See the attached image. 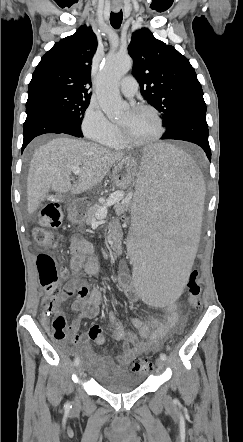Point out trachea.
Instances as JSON below:
<instances>
[{"instance_id":"obj_1","label":"trachea","mask_w":243,"mask_h":442,"mask_svg":"<svg viewBox=\"0 0 243 442\" xmlns=\"http://www.w3.org/2000/svg\"><path fill=\"white\" fill-rule=\"evenodd\" d=\"M122 20H123L122 11H120L118 13L112 12L110 14V23L114 29H119V27L121 26Z\"/></svg>"}]
</instances>
